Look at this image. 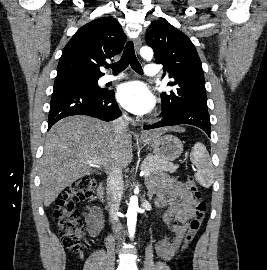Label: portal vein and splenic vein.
I'll return each mask as SVG.
<instances>
[{
  "label": "portal vein and splenic vein",
  "instance_id": "1",
  "mask_svg": "<svg viewBox=\"0 0 267 270\" xmlns=\"http://www.w3.org/2000/svg\"><path fill=\"white\" fill-rule=\"evenodd\" d=\"M88 163H90V164H92V163H96L97 162V160H88L87 161ZM149 175V172H147V171H144V170H142L141 172H140V176H148Z\"/></svg>",
  "mask_w": 267,
  "mask_h": 270
}]
</instances>
